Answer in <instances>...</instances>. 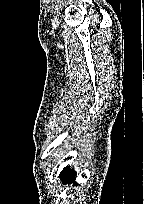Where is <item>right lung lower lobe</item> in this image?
<instances>
[{"label": "right lung lower lobe", "instance_id": "right-lung-lower-lobe-1", "mask_svg": "<svg viewBox=\"0 0 144 204\" xmlns=\"http://www.w3.org/2000/svg\"><path fill=\"white\" fill-rule=\"evenodd\" d=\"M61 180H63V182H73L74 183V179H75V173L73 171V169H70L69 167H66L60 174Z\"/></svg>", "mask_w": 144, "mask_h": 204}]
</instances>
